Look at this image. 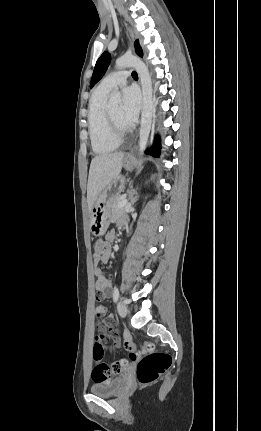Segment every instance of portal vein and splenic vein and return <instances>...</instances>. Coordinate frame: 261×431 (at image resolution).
I'll use <instances>...</instances> for the list:
<instances>
[{
	"label": "portal vein and splenic vein",
	"instance_id": "1",
	"mask_svg": "<svg viewBox=\"0 0 261 431\" xmlns=\"http://www.w3.org/2000/svg\"><path fill=\"white\" fill-rule=\"evenodd\" d=\"M127 204V199L123 198V200L119 203V207H124Z\"/></svg>",
	"mask_w": 261,
	"mask_h": 431
}]
</instances>
